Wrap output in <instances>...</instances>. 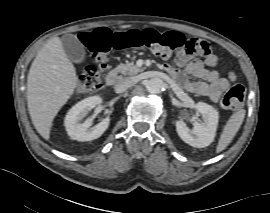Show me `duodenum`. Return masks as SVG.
Listing matches in <instances>:
<instances>
[{"instance_id":"1","label":"duodenum","mask_w":270,"mask_h":213,"mask_svg":"<svg viewBox=\"0 0 270 213\" xmlns=\"http://www.w3.org/2000/svg\"><path fill=\"white\" fill-rule=\"evenodd\" d=\"M121 77L122 74L119 71H110L106 76L105 83L107 86H111L113 84H116L121 79Z\"/></svg>"}]
</instances>
